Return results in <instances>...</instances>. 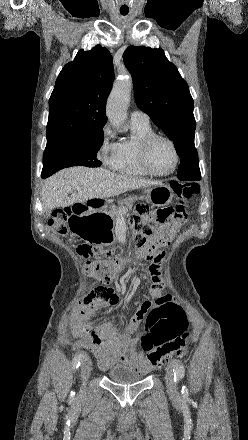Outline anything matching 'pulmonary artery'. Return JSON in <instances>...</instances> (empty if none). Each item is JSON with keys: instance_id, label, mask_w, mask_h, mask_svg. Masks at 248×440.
I'll use <instances>...</instances> for the list:
<instances>
[{"instance_id": "1", "label": "pulmonary artery", "mask_w": 248, "mask_h": 440, "mask_svg": "<svg viewBox=\"0 0 248 440\" xmlns=\"http://www.w3.org/2000/svg\"><path fill=\"white\" fill-rule=\"evenodd\" d=\"M130 118L132 123L149 124V116L141 110H133Z\"/></svg>"}]
</instances>
